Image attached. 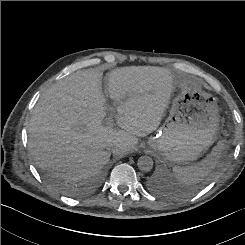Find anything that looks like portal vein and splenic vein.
<instances>
[{
  "label": "portal vein and splenic vein",
  "instance_id": "obj_1",
  "mask_svg": "<svg viewBox=\"0 0 245 245\" xmlns=\"http://www.w3.org/2000/svg\"><path fill=\"white\" fill-rule=\"evenodd\" d=\"M109 111H110V114L106 118L105 123L107 126L112 127L114 124V118L116 117V115H115V111L113 108H109Z\"/></svg>",
  "mask_w": 245,
  "mask_h": 245
}]
</instances>
